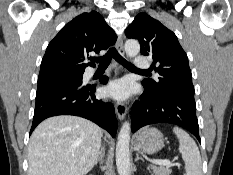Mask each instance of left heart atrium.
I'll return each instance as SVG.
<instances>
[{
	"mask_svg": "<svg viewBox=\"0 0 233 175\" xmlns=\"http://www.w3.org/2000/svg\"><path fill=\"white\" fill-rule=\"evenodd\" d=\"M131 92L132 85L126 79L113 81L106 87V94L117 100L127 99Z\"/></svg>",
	"mask_w": 233,
	"mask_h": 175,
	"instance_id": "left-heart-atrium-1",
	"label": "left heart atrium"
}]
</instances>
